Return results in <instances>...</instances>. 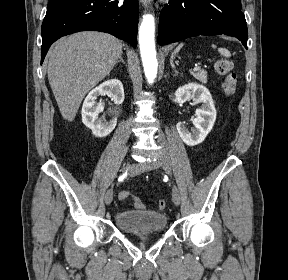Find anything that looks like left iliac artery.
Listing matches in <instances>:
<instances>
[{"mask_svg":"<svg viewBox=\"0 0 288 280\" xmlns=\"http://www.w3.org/2000/svg\"><path fill=\"white\" fill-rule=\"evenodd\" d=\"M162 178L164 181H167L168 187H172L173 189L177 188V185L175 184L174 179H169L168 174H163Z\"/></svg>","mask_w":288,"mask_h":280,"instance_id":"44dca946","label":"left iliac artery"}]
</instances>
